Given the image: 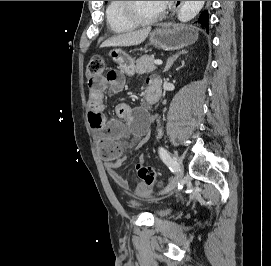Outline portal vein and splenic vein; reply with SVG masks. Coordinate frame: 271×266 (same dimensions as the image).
I'll return each mask as SVG.
<instances>
[{
    "instance_id": "1",
    "label": "portal vein and splenic vein",
    "mask_w": 271,
    "mask_h": 266,
    "mask_svg": "<svg viewBox=\"0 0 271 266\" xmlns=\"http://www.w3.org/2000/svg\"><path fill=\"white\" fill-rule=\"evenodd\" d=\"M162 60H154L153 61V64H155V65H157V66H160V65H162Z\"/></svg>"
}]
</instances>
